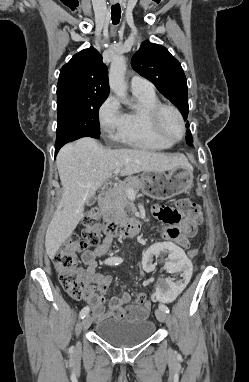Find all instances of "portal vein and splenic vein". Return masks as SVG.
Wrapping results in <instances>:
<instances>
[{
    "instance_id": "portal-vein-and-splenic-vein-1",
    "label": "portal vein and splenic vein",
    "mask_w": 249,
    "mask_h": 382,
    "mask_svg": "<svg viewBox=\"0 0 249 382\" xmlns=\"http://www.w3.org/2000/svg\"><path fill=\"white\" fill-rule=\"evenodd\" d=\"M120 172V169H115L114 174H118ZM128 192L133 191L132 189H127Z\"/></svg>"
}]
</instances>
